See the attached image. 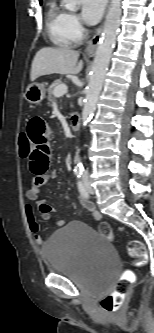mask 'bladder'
<instances>
[{"instance_id": "obj_1", "label": "bladder", "mask_w": 154, "mask_h": 333, "mask_svg": "<svg viewBox=\"0 0 154 333\" xmlns=\"http://www.w3.org/2000/svg\"><path fill=\"white\" fill-rule=\"evenodd\" d=\"M46 267L87 286L107 290L118 267L111 243L90 225L71 221L41 247Z\"/></svg>"}]
</instances>
